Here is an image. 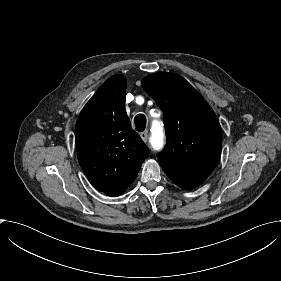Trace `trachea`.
I'll list each match as a JSON object with an SVG mask.
<instances>
[{
	"label": "trachea",
	"mask_w": 281,
	"mask_h": 281,
	"mask_svg": "<svg viewBox=\"0 0 281 281\" xmlns=\"http://www.w3.org/2000/svg\"><path fill=\"white\" fill-rule=\"evenodd\" d=\"M134 124H135V129L136 131H144L146 128V117L143 114H138L134 118Z\"/></svg>",
	"instance_id": "1"
}]
</instances>
